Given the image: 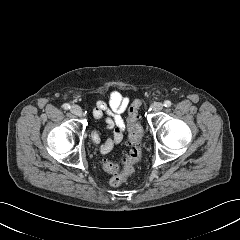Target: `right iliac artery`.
<instances>
[{"mask_svg": "<svg viewBox=\"0 0 240 240\" xmlns=\"http://www.w3.org/2000/svg\"><path fill=\"white\" fill-rule=\"evenodd\" d=\"M63 108H64L65 110H68V109L71 108V106H70L68 103H65V104L63 105Z\"/></svg>", "mask_w": 240, "mask_h": 240, "instance_id": "obj_1", "label": "right iliac artery"}]
</instances>
